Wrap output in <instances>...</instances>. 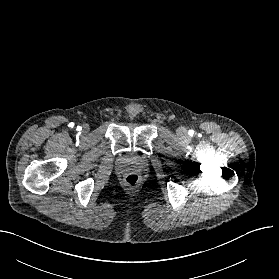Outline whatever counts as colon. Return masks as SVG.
Wrapping results in <instances>:
<instances>
[{"instance_id":"obj_1","label":"colon","mask_w":279,"mask_h":279,"mask_svg":"<svg viewBox=\"0 0 279 279\" xmlns=\"http://www.w3.org/2000/svg\"><path fill=\"white\" fill-rule=\"evenodd\" d=\"M124 181L128 186L134 187L139 183L140 177L136 173H130L124 178Z\"/></svg>"}]
</instances>
